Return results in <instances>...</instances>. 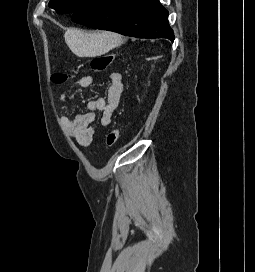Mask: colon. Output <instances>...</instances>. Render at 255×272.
Returning <instances> with one entry per match:
<instances>
[{"mask_svg": "<svg viewBox=\"0 0 255 272\" xmlns=\"http://www.w3.org/2000/svg\"><path fill=\"white\" fill-rule=\"evenodd\" d=\"M113 60L114 55L111 53L95 56L91 60L90 69L94 72H102L110 66ZM69 79L70 76L66 73L57 72L52 75V80L56 84H64L68 82ZM120 133L121 129L119 127H116L107 134L105 144L108 148H112L115 146L120 136Z\"/></svg>", "mask_w": 255, "mask_h": 272, "instance_id": "colon-1", "label": "colon"}]
</instances>
